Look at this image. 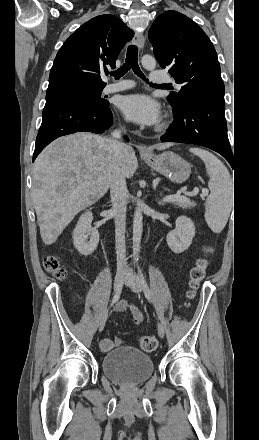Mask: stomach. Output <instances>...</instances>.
<instances>
[{
    "instance_id": "stomach-1",
    "label": "stomach",
    "mask_w": 259,
    "mask_h": 440,
    "mask_svg": "<svg viewBox=\"0 0 259 440\" xmlns=\"http://www.w3.org/2000/svg\"><path fill=\"white\" fill-rule=\"evenodd\" d=\"M144 160L153 170L175 183L185 182L191 173L190 164L171 151H164L152 157L144 156Z\"/></svg>"
}]
</instances>
